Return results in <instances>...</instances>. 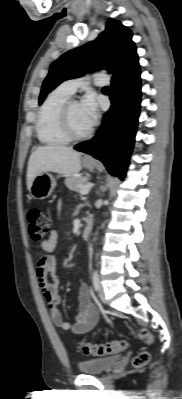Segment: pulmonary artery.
Masks as SVG:
<instances>
[{
  "label": "pulmonary artery",
  "instance_id": "obj_1",
  "mask_svg": "<svg viewBox=\"0 0 182 399\" xmlns=\"http://www.w3.org/2000/svg\"><path fill=\"white\" fill-rule=\"evenodd\" d=\"M93 78L94 82L98 85H105L107 83L106 74L103 72H95ZM87 83L88 79L86 77H78L64 81L59 87L69 94H73L78 88L85 86Z\"/></svg>",
  "mask_w": 182,
  "mask_h": 399
}]
</instances>
